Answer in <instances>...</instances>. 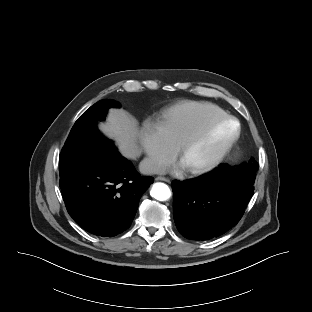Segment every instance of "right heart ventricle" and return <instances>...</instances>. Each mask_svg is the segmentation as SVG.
Segmentation results:
<instances>
[{"label": "right heart ventricle", "mask_w": 312, "mask_h": 312, "mask_svg": "<svg viewBox=\"0 0 312 312\" xmlns=\"http://www.w3.org/2000/svg\"><path fill=\"white\" fill-rule=\"evenodd\" d=\"M226 115L227 113L215 104L189 101L167 110L161 121L170 140L179 146L209 122Z\"/></svg>", "instance_id": "1"}]
</instances>
